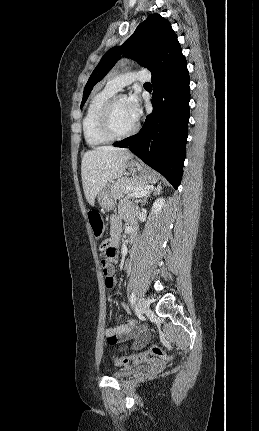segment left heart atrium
I'll use <instances>...</instances> for the list:
<instances>
[{"mask_svg": "<svg viewBox=\"0 0 259 431\" xmlns=\"http://www.w3.org/2000/svg\"><path fill=\"white\" fill-rule=\"evenodd\" d=\"M127 109L131 117L137 121L142 114L140 99L137 94H132L126 99Z\"/></svg>", "mask_w": 259, "mask_h": 431, "instance_id": "39dd6f15", "label": "left heart atrium"}]
</instances>
